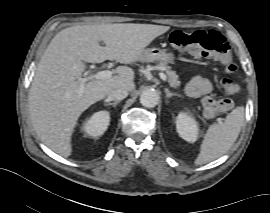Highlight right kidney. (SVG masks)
I'll use <instances>...</instances> for the list:
<instances>
[{
  "instance_id": "ca27d5eb",
  "label": "right kidney",
  "mask_w": 270,
  "mask_h": 213,
  "mask_svg": "<svg viewBox=\"0 0 270 213\" xmlns=\"http://www.w3.org/2000/svg\"><path fill=\"white\" fill-rule=\"evenodd\" d=\"M110 122L108 111H99L94 113L83 125L85 133L91 137L102 135Z\"/></svg>"
}]
</instances>
